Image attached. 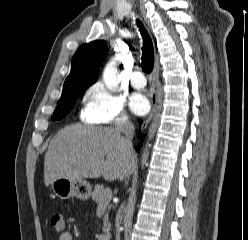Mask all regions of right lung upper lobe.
Listing matches in <instances>:
<instances>
[{"label":"right lung upper lobe","mask_w":248,"mask_h":240,"mask_svg":"<svg viewBox=\"0 0 248 240\" xmlns=\"http://www.w3.org/2000/svg\"><path fill=\"white\" fill-rule=\"evenodd\" d=\"M107 51V43L103 40L83 44L73 56L71 71L63 87L76 84L88 88L92 85L98 78Z\"/></svg>","instance_id":"obj_1"}]
</instances>
